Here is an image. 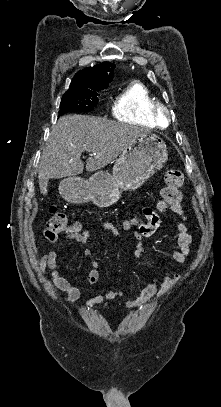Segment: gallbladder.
<instances>
[{
  "label": "gallbladder",
  "mask_w": 221,
  "mask_h": 407,
  "mask_svg": "<svg viewBox=\"0 0 221 407\" xmlns=\"http://www.w3.org/2000/svg\"><path fill=\"white\" fill-rule=\"evenodd\" d=\"M47 183H48V180H41V181H39V186H40V189H41L42 192H43V190H46V188H47Z\"/></svg>",
  "instance_id": "gallbladder-1"
}]
</instances>
